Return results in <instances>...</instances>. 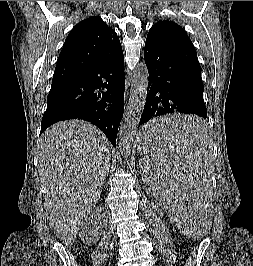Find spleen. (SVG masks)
<instances>
[{
	"label": "spleen",
	"instance_id": "obj_1",
	"mask_svg": "<svg viewBox=\"0 0 253 266\" xmlns=\"http://www.w3.org/2000/svg\"><path fill=\"white\" fill-rule=\"evenodd\" d=\"M196 111H168L143 123L139 169L145 187H153L183 235H210L209 202L213 163L212 141H205L206 123ZM159 189V190H158Z\"/></svg>",
	"mask_w": 253,
	"mask_h": 266
}]
</instances>
